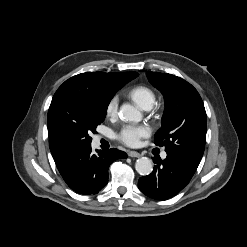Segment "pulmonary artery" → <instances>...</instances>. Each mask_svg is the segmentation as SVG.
Masks as SVG:
<instances>
[{
	"instance_id": "e3ab8cb5",
	"label": "pulmonary artery",
	"mask_w": 247,
	"mask_h": 247,
	"mask_svg": "<svg viewBox=\"0 0 247 247\" xmlns=\"http://www.w3.org/2000/svg\"><path fill=\"white\" fill-rule=\"evenodd\" d=\"M161 157H162L163 159H165V158L167 157V153H166V152H163V153L161 154Z\"/></svg>"
}]
</instances>
